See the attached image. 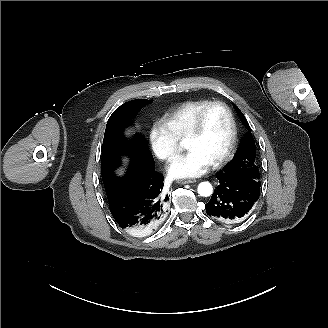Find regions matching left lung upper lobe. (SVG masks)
I'll return each instance as SVG.
<instances>
[{
    "mask_svg": "<svg viewBox=\"0 0 328 328\" xmlns=\"http://www.w3.org/2000/svg\"><path fill=\"white\" fill-rule=\"evenodd\" d=\"M234 108L237 111L242 123L250 130L249 124L242 112L235 105ZM255 155V142L251 132L249 131L243 138L234 158L222 171L227 173H241L259 178V169L255 161Z\"/></svg>",
    "mask_w": 328,
    "mask_h": 328,
    "instance_id": "obj_1",
    "label": "left lung upper lobe"
}]
</instances>
